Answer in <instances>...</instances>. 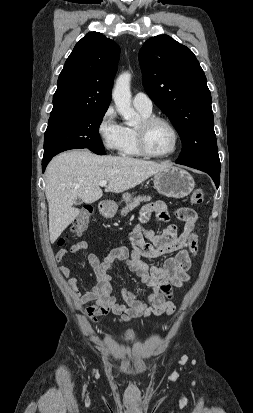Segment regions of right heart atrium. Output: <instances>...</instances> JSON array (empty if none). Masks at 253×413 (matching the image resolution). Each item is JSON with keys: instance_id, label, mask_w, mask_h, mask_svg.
Wrapping results in <instances>:
<instances>
[{"instance_id": "obj_1", "label": "right heart atrium", "mask_w": 253, "mask_h": 413, "mask_svg": "<svg viewBox=\"0 0 253 413\" xmlns=\"http://www.w3.org/2000/svg\"><path fill=\"white\" fill-rule=\"evenodd\" d=\"M97 133L107 150L121 151L125 141V129L118 121L113 106H108L102 113L97 124Z\"/></svg>"}]
</instances>
